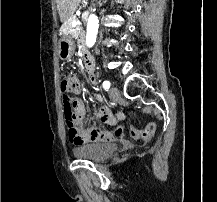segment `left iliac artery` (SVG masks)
Listing matches in <instances>:
<instances>
[{
    "instance_id": "44dca946",
    "label": "left iliac artery",
    "mask_w": 217,
    "mask_h": 202,
    "mask_svg": "<svg viewBox=\"0 0 217 202\" xmlns=\"http://www.w3.org/2000/svg\"><path fill=\"white\" fill-rule=\"evenodd\" d=\"M102 85H103V88H104L105 90H108V89L110 88V85H111V84H110L109 81H104Z\"/></svg>"
}]
</instances>
